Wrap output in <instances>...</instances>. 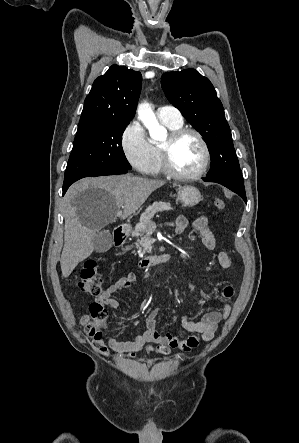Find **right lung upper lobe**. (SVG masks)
<instances>
[{
	"label": "right lung upper lobe",
	"mask_w": 299,
	"mask_h": 443,
	"mask_svg": "<svg viewBox=\"0 0 299 443\" xmlns=\"http://www.w3.org/2000/svg\"><path fill=\"white\" fill-rule=\"evenodd\" d=\"M141 80L140 72L112 65L94 81L77 131L109 122H130L140 95Z\"/></svg>",
	"instance_id": "obj_1"
}]
</instances>
